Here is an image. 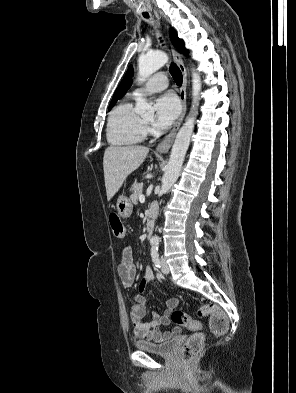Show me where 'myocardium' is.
I'll list each match as a JSON object with an SVG mask.
<instances>
[{
    "instance_id": "1",
    "label": "myocardium",
    "mask_w": 296,
    "mask_h": 393,
    "mask_svg": "<svg viewBox=\"0 0 296 393\" xmlns=\"http://www.w3.org/2000/svg\"><path fill=\"white\" fill-rule=\"evenodd\" d=\"M143 124H144V126H145V125L147 124V122H144V121H143Z\"/></svg>"
}]
</instances>
